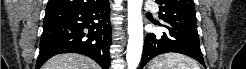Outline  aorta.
<instances>
[{"label":"aorta","instance_id":"1","mask_svg":"<svg viewBox=\"0 0 246 69\" xmlns=\"http://www.w3.org/2000/svg\"><path fill=\"white\" fill-rule=\"evenodd\" d=\"M142 0H128V45L126 61L128 69H136L143 50Z\"/></svg>","mask_w":246,"mask_h":69}]
</instances>
